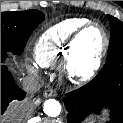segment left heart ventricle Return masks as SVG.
I'll list each match as a JSON object with an SVG mask.
<instances>
[{
    "label": "left heart ventricle",
    "mask_w": 123,
    "mask_h": 123,
    "mask_svg": "<svg viewBox=\"0 0 123 123\" xmlns=\"http://www.w3.org/2000/svg\"><path fill=\"white\" fill-rule=\"evenodd\" d=\"M103 36L97 27H90L87 32L80 38L76 53L80 60V68L87 69L95 60L101 46Z\"/></svg>",
    "instance_id": "b2bd125f"
}]
</instances>
